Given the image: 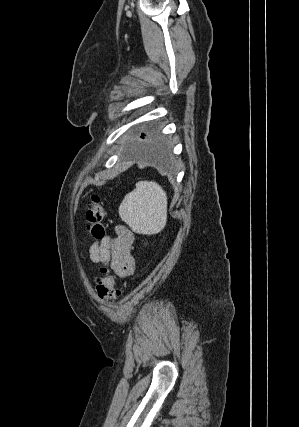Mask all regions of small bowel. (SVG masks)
Here are the masks:
<instances>
[{"instance_id":"small-bowel-1","label":"small bowel","mask_w":299,"mask_h":427,"mask_svg":"<svg viewBox=\"0 0 299 427\" xmlns=\"http://www.w3.org/2000/svg\"><path fill=\"white\" fill-rule=\"evenodd\" d=\"M114 234V237L106 236L100 242L93 243L89 249V258L93 264L109 266L118 277L124 278L133 274L135 269L132 255L135 236L125 225H116Z\"/></svg>"}]
</instances>
